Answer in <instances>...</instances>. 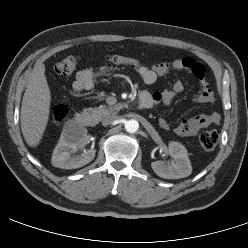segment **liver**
Wrapping results in <instances>:
<instances>
[{
    "label": "liver",
    "mask_w": 248,
    "mask_h": 248,
    "mask_svg": "<svg viewBox=\"0 0 248 248\" xmlns=\"http://www.w3.org/2000/svg\"><path fill=\"white\" fill-rule=\"evenodd\" d=\"M51 92L41 64L30 77L21 106V131L26 143L36 147L45 132L50 113Z\"/></svg>",
    "instance_id": "6515ba94"
}]
</instances>
